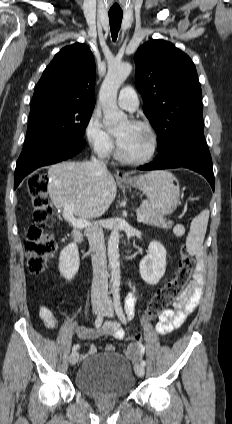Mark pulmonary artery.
<instances>
[{
  "mask_svg": "<svg viewBox=\"0 0 232 424\" xmlns=\"http://www.w3.org/2000/svg\"><path fill=\"white\" fill-rule=\"evenodd\" d=\"M118 105L128 111H135L139 106V98L134 88L127 86L121 89L118 99Z\"/></svg>",
  "mask_w": 232,
  "mask_h": 424,
  "instance_id": "pulmonary-artery-1",
  "label": "pulmonary artery"
}]
</instances>
